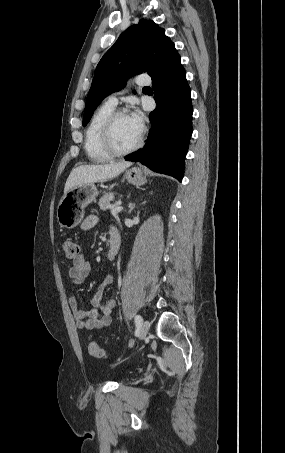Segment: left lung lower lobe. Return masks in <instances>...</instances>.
<instances>
[{
    "mask_svg": "<svg viewBox=\"0 0 285 453\" xmlns=\"http://www.w3.org/2000/svg\"><path fill=\"white\" fill-rule=\"evenodd\" d=\"M151 77L157 104L149 116L152 129L145 146L124 158L181 182L192 134L193 108L186 72L175 46L162 61L158 73Z\"/></svg>",
    "mask_w": 285,
    "mask_h": 453,
    "instance_id": "obj_1",
    "label": "left lung lower lobe"
}]
</instances>
